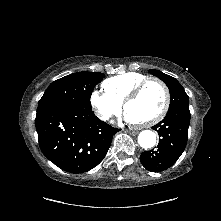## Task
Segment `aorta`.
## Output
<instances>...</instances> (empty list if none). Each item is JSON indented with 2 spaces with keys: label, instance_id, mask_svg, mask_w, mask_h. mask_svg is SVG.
<instances>
[{
  "label": "aorta",
  "instance_id": "obj_1",
  "mask_svg": "<svg viewBox=\"0 0 221 221\" xmlns=\"http://www.w3.org/2000/svg\"><path fill=\"white\" fill-rule=\"evenodd\" d=\"M139 145L144 148H152L156 144V134L151 130H144L138 136Z\"/></svg>",
  "mask_w": 221,
  "mask_h": 221
}]
</instances>
